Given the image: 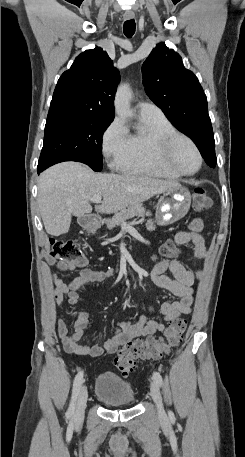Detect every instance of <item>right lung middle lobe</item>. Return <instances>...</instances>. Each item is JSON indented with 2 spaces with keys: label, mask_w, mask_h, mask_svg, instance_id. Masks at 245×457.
Segmentation results:
<instances>
[{
  "label": "right lung middle lobe",
  "mask_w": 245,
  "mask_h": 457,
  "mask_svg": "<svg viewBox=\"0 0 245 457\" xmlns=\"http://www.w3.org/2000/svg\"><path fill=\"white\" fill-rule=\"evenodd\" d=\"M114 118L91 113H48L38 173L62 161L102 170V136Z\"/></svg>",
  "instance_id": "dd1d6c3e"
}]
</instances>
